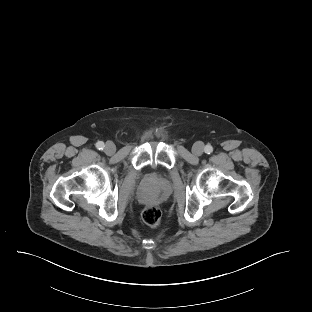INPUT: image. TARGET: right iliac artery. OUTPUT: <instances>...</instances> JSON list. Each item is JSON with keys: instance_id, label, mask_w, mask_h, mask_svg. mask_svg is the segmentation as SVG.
Segmentation results:
<instances>
[{"instance_id": "82829eb1", "label": "right iliac artery", "mask_w": 312, "mask_h": 312, "mask_svg": "<svg viewBox=\"0 0 312 312\" xmlns=\"http://www.w3.org/2000/svg\"><path fill=\"white\" fill-rule=\"evenodd\" d=\"M96 147H97V149H99V150H103V148L105 147V145H104L103 142L99 141V142L96 143Z\"/></svg>"}]
</instances>
